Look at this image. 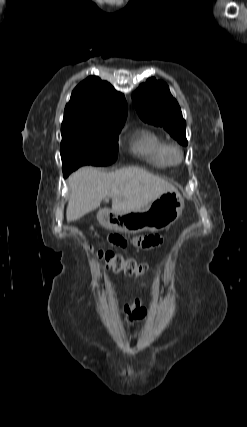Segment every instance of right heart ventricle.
I'll use <instances>...</instances> for the list:
<instances>
[{
    "label": "right heart ventricle",
    "instance_id": "obj_1",
    "mask_svg": "<svg viewBox=\"0 0 247 427\" xmlns=\"http://www.w3.org/2000/svg\"><path fill=\"white\" fill-rule=\"evenodd\" d=\"M170 145L151 130L137 132L131 142V151L156 168H167L173 162Z\"/></svg>",
    "mask_w": 247,
    "mask_h": 427
}]
</instances>
